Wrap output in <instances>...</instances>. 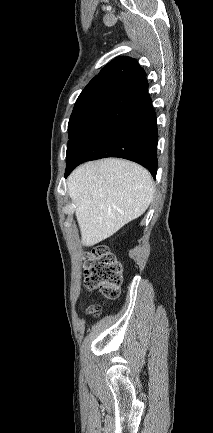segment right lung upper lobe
Listing matches in <instances>:
<instances>
[{
    "label": "right lung upper lobe",
    "mask_w": 213,
    "mask_h": 433,
    "mask_svg": "<svg viewBox=\"0 0 213 433\" xmlns=\"http://www.w3.org/2000/svg\"><path fill=\"white\" fill-rule=\"evenodd\" d=\"M145 76V71L135 59L118 57L88 83L77 100L107 93L119 94Z\"/></svg>",
    "instance_id": "1"
}]
</instances>
